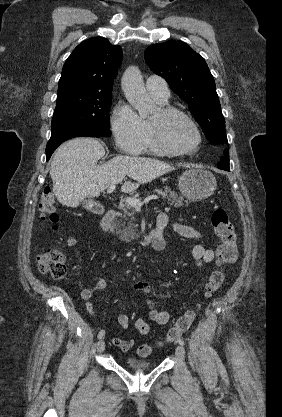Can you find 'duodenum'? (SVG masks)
<instances>
[{
  "label": "duodenum",
  "instance_id": "410a0bca",
  "mask_svg": "<svg viewBox=\"0 0 282 417\" xmlns=\"http://www.w3.org/2000/svg\"><path fill=\"white\" fill-rule=\"evenodd\" d=\"M117 216V211L115 209H110L103 217L101 221V229L104 233L111 235L112 234V223ZM162 240V234L160 229H155L152 232L142 235L136 239V241L142 245H152L153 247H157L158 250H161L165 247V243L162 241L161 244L155 245L156 241Z\"/></svg>",
  "mask_w": 282,
  "mask_h": 417
}]
</instances>
